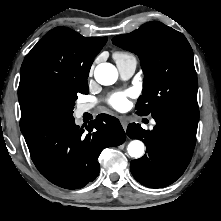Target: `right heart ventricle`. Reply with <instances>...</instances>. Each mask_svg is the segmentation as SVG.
<instances>
[{
    "instance_id": "obj_1",
    "label": "right heart ventricle",
    "mask_w": 221,
    "mask_h": 221,
    "mask_svg": "<svg viewBox=\"0 0 221 221\" xmlns=\"http://www.w3.org/2000/svg\"><path fill=\"white\" fill-rule=\"evenodd\" d=\"M127 57H132V55L125 53V52H116L114 54V59L118 60V59H123V58H127Z\"/></svg>"
}]
</instances>
